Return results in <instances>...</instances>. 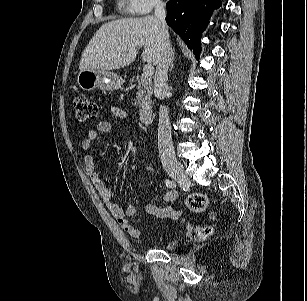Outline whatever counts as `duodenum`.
Masks as SVG:
<instances>
[{"label": "duodenum", "mask_w": 307, "mask_h": 301, "mask_svg": "<svg viewBox=\"0 0 307 301\" xmlns=\"http://www.w3.org/2000/svg\"><path fill=\"white\" fill-rule=\"evenodd\" d=\"M153 117V105L151 103H145L141 105L139 110V118L143 124H149Z\"/></svg>", "instance_id": "410a0bca"}]
</instances>
